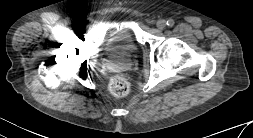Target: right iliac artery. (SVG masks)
I'll return each mask as SVG.
<instances>
[{"instance_id":"right-iliac-artery-1","label":"right iliac artery","mask_w":253,"mask_h":138,"mask_svg":"<svg viewBox=\"0 0 253 138\" xmlns=\"http://www.w3.org/2000/svg\"><path fill=\"white\" fill-rule=\"evenodd\" d=\"M70 23H71V20H70V19H66V20L64 21V24H65L66 26H69Z\"/></svg>"}]
</instances>
